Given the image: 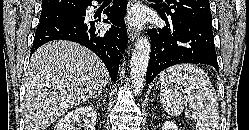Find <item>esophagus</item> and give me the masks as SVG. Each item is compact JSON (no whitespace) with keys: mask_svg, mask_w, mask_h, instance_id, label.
Instances as JSON below:
<instances>
[{"mask_svg":"<svg viewBox=\"0 0 249 130\" xmlns=\"http://www.w3.org/2000/svg\"><path fill=\"white\" fill-rule=\"evenodd\" d=\"M139 31L133 27L128 28V36L131 41H135L139 38Z\"/></svg>","mask_w":249,"mask_h":130,"instance_id":"obj_1","label":"esophagus"}]
</instances>
